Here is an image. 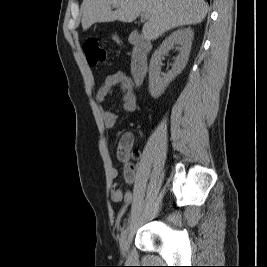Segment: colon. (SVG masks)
Returning a JSON list of instances; mask_svg holds the SVG:
<instances>
[{
  "label": "colon",
  "mask_w": 267,
  "mask_h": 267,
  "mask_svg": "<svg viewBox=\"0 0 267 267\" xmlns=\"http://www.w3.org/2000/svg\"><path fill=\"white\" fill-rule=\"evenodd\" d=\"M83 50L88 63L96 66L105 61L106 52L95 40H88L83 45ZM117 156L121 161H128L139 156L138 151L133 147V140L130 136H123L117 147Z\"/></svg>",
  "instance_id": "1"
}]
</instances>
